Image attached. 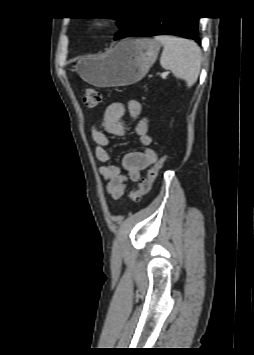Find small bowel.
Listing matches in <instances>:
<instances>
[{
    "label": "small bowel",
    "instance_id": "c3829d8e",
    "mask_svg": "<svg viewBox=\"0 0 254 355\" xmlns=\"http://www.w3.org/2000/svg\"><path fill=\"white\" fill-rule=\"evenodd\" d=\"M126 111L130 119L135 121L134 134L145 149L126 153L119 166L110 163L112 154L109 150V136H122L126 133L127 127L123 121ZM91 135L96 144L95 155L103 163L99 172L106 181L108 194L114 200L121 198L128 183L138 181L141 172L151 167L157 160V152L150 147L148 120L142 116V105L137 100H130L126 107L120 101L109 104L104 112L101 126H94ZM122 168L125 173H122Z\"/></svg>",
    "mask_w": 254,
    "mask_h": 355
}]
</instances>
